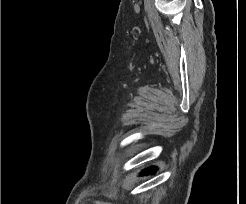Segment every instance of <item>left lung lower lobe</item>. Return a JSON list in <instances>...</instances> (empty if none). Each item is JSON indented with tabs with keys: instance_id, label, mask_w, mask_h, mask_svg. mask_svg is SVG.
I'll return each instance as SVG.
<instances>
[{
	"instance_id": "1",
	"label": "left lung lower lobe",
	"mask_w": 246,
	"mask_h": 204,
	"mask_svg": "<svg viewBox=\"0 0 246 204\" xmlns=\"http://www.w3.org/2000/svg\"><path fill=\"white\" fill-rule=\"evenodd\" d=\"M152 172H153V169H148V170H146L145 173H152Z\"/></svg>"
}]
</instances>
